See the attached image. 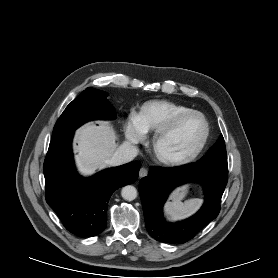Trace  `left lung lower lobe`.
<instances>
[{
	"label": "left lung lower lobe",
	"mask_w": 278,
	"mask_h": 278,
	"mask_svg": "<svg viewBox=\"0 0 278 278\" xmlns=\"http://www.w3.org/2000/svg\"><path fill=\"white\" fill-rule=\"evenodd\" d=\"M228 180V172L187 164L178 168L152 166L148 176L140 181L146 229L157 241L185 243L217 217L220 201ZM195 182L204 190L205 202L192 217L179 223H167L163 218V205L170 192L177 186Z\"/></svg>",
	"instance_id": "left-lung-lower-lobe-1"
}]
</instances>
